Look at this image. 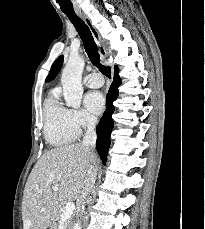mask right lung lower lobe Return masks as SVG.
I'll list each match as a JSON object with an SVG mask.
<instances>
[{
  "label": "right lung lower lobe",
  "mask_w": 205,
  "mask_h": 229,
  "mask_svg": "<svg viewBox=\"0 0 205 229\" xmlns=\"http://www.w3.org/2000/svg\"><path fill=\"white\" fill-rule=\"evenodd\" d=\"M118 68L115 67L114 80L110 86V89L106 98V110L96 127L97 142L96 147L98 154L103 162L106 163L107 153L110 146V136L113 129L112 114L114 112L113 102L118 97V87L121 83L120 77L118 76Z\"/></svg>",
  "instance_id": "1"
}]
</instances>
